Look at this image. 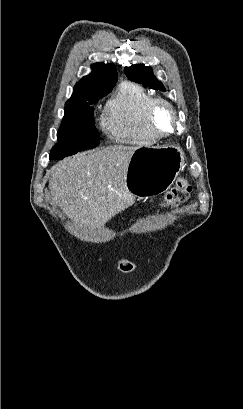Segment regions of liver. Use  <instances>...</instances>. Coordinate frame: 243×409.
<instances>
[{"label":"liver","instance_id":"6515ba94","mask_svg":"<svg viewBox=\"0 0 243 409\" xmlns=\"http://www.w3.org/2000/svg\"><path fill=\"white\" fill-rule=\"evenodd\" d=\"M137 149L110 146L59 161L48 172L52 202L80 228L104 226L134 202L125 180Z\"/></svg>","mask_w":243,"mask_h":409}]
</instances>
